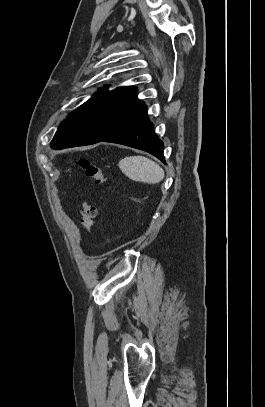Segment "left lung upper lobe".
Returning <instances> with one entry per match:
<instances>
[{
    "instance_id": "1",
    "label": "left lung upper lobe",
    "mask_w": 265,
    "mask_h": 407,
    "mask_svg": "<svg viewBox=\"0 0 265 407\" xmlns=\"http://www.w3.org/2000/svg\"><path fill=\"white\" fill-rule=\"evenodd\" d=\"M147 114L134 87L108 91L101 88L92 98L68 115L59 126L50 147L83 146L100 142Z\"/></svg>"
}]
</instances>
